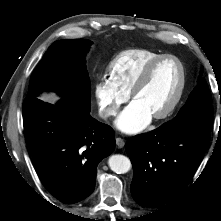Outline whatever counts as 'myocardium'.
Returning a JSON list of instances; mask_svg holds the SVG:
<instances>
[{"label":"myocardium","instance_id":"obj_1","mask_svg":"<svg viewBox=\"0 0 221 221\" xmlns=\"http://www.w3.org/2000/svg\"><path fill=\"white\" fill-rule=\"evenodd\" d=\"M167 59H172L179 65L180 82H179V86L176 91V94H175L174 98L172 99V101L169 103V105L161 112L152 116L153 119H155V120H162V119L169 117L176 110V108L178 107L179 103L182 100V97H183V94H184V91L186 88V81H187L186 68H185L183 62L178 57H176L175 55H172V54H164V55H161V56L155 58L145 67V69L143 70V72L141 73V75L139 76L137 81L135 82V84L132 87V90L130 92L131 99L134 100L136 95L144 88V86L149 81L154 68L157 65H159L161 62H163L164 60H167Z\"/></svg>","mask_w":221,"mask_h":221}]
</instances>
